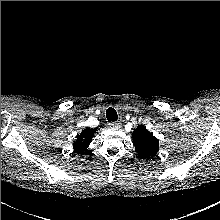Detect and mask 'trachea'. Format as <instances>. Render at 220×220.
I'll return each mask as SVG.
<instances>
[{
  "mask_svg": "<svg viewBox=\"0 0 220 220\" xmlns=\"http://www.w3.org/2000/svg\"><path fill=\"white\" fill-rule=\"evenodd\" d=\"M106 117L109 122H115L118 119V114L114 108L110 107L106 110Z\"/></svg>",
  "mask_w": 220,
  "mask_h": 220,
  "instance_id": "1",
  "label": "trachea"
}]
</instances>
